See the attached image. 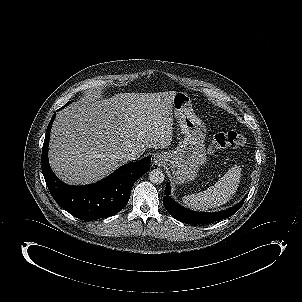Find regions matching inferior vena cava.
<instances>
[{
	"mask_svg": "<svg viewBox=\"0 0 302 302\" xmlns=\"http://www.w3.org/2000/svg\"><path fill=\"white\" fill-rule=\"evenodd\" d=\"M141 155H142V153L137 150H130V151L125 152L122 157L126 161H133V160L138 159Z\"/></svg>",
	"mask_w": 302,
	"mask_h": 302,
	"instance_id": "1",
	"label": "inferior vena cava"
}]
</instances>
